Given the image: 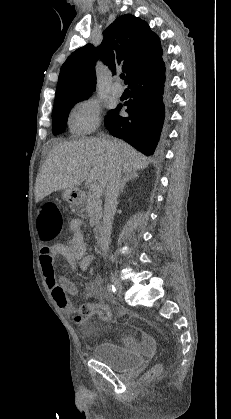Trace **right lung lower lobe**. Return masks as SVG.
Instances as JSON below:
<instances>
[{"label":"right lung lower lobe","mask_w":231,"mask_h":419,"mask_svg":"<svg viewBox=\"0 0 231 419\" xmlns=\"http://www.w3.org/2000/svg\"><path fill=\"white\" fill-rule=\"evenodd\" d=\"M128 84L132 97L124 103L128 116L118 115L122 107L118 105L105 117V126L113 136L122 138L149 156L157 150L160 135L164 133V104L168 100V92L163 59Z\"/></svg>","instance_id":"obj_1"}]
</instances>
